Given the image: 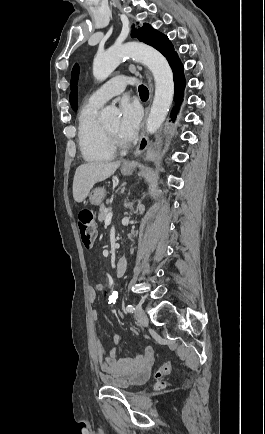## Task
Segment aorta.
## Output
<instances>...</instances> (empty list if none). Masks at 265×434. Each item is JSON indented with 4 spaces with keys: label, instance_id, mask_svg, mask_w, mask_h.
<instances>
[{
    "label": "aorta",
    "instance_id": "obj_1",
    "mask_svg": "<svg viewBox=\"0 0 265 434\" xmlns=\"http://www.w3.org/2000/svg\"><path fill=\"white\" fill-rule=\"evenodd\" d=\"M134 58L149 68L155 80V98L151 106L147 120V132L155 134L165 122L171 108L174 82L173 72L164 56L145 44H124V46H111L104 54H98L93 60V76L95 80H106L117 66L121 64L122 58ZM119 110L113 106L104 108L101 120H115L117 122Z\"/></svg>",
    "mask_w": 265,
    "mask_h": 434
}]
</instances>
